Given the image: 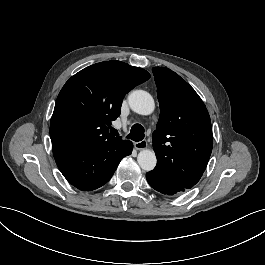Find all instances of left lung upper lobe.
Listing matches in <instances>:
<instances>
[{"label":"left lung upper lobe","mask_w":265,"mask_h":265,"mask_svg":"<svg viewBox=\"0 0 265 265\" xmlns=\"http://www.w3.org/2000/svg\"><path fill=\"white\" fill-rule=\"evenodd\" d=\"M160 105L153 149L157 170L186 189L200 180L209 161L213 135L205 104L178 74L164 67L152 69Z\"/></svg>","instance_id":"obj_1"}]
</instances>
